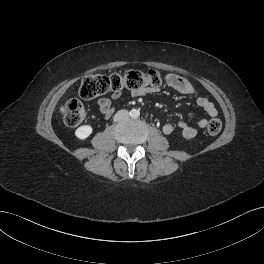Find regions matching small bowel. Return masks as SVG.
Here are the masks:
<instances>
[{
    "label": "small bowel",
    "mask_w": 264,
    "mask_h": 264,
    "mask_svg": "<svg viewBox=\"0 0 264 264\" xmlns=\"http://www.w3.org/2000/svg\"><path fill=\"white\" fill-rule=\"evenodd\" d=\"M165 83L180 94L195 97L197 105L210 117H216L218 115V111L214 104L206 97L200 95L197 89L187 79L176 74H168L165 77ZM152 91L151 88H144L134 91L132 94L133 96H143ZM120 97L121 92H113L111 99L106 97L100 98L98 100V106L101 114L105 117L111 116L115 110L114 101L118 100ZM207 122L206 118H202L197 122V126H191L186 121H179L178 127L181 130L183 138L192 139L197 136L199 129L206 127ZM174 128L175 125L170 121H166L162 126L163 132L167 135L171 134Z\"/></svg>",
    "instance_id": "small-bowel-1"
}]
</instances>
